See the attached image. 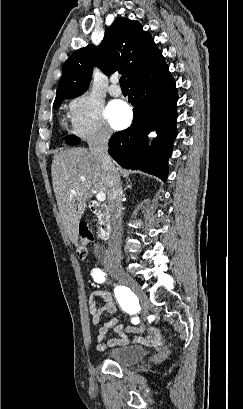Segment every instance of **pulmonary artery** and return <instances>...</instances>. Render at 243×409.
I'll return each mask as SVG.
<instances>
[{
	"mask_svg": "<svg viewBox=\"0 0 243 409\" xmlns=\"http://www.w3.org/2000/svg\"><path fill=\"white\" fill-rule=\"evenodd\" d=\"M110 81H111V84L108 89L109 94L114 97L120 96L122 94V91H121V88L117 85L118 78L113 76Z\"/></svg>",
	"mask_w": 243,
	"mask_h": 409,
	"instance_id": "pulmonary-artery-1",
	"label": "pulmonary artery"
}]
</instances>
